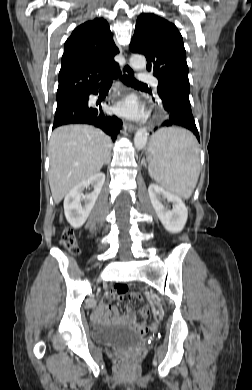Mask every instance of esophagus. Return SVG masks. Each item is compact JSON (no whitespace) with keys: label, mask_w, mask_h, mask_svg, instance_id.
I'll use <instances>...</instances> for the list:
<instances>
[{"label":"esophagus","mask_w":252,"mask_h":390,"mask_svg":"<svg viewBox=\"0 0 252 390\" xmlns=\"http://www.w3.org/2000/svg\"><path fill=\"white\" fill-rule=\"evenodd\" d=\"M123 70H124V73L126 75H128V76H134L135 75V72H134L133 68L127 62L123 65ZM124 127L129 132H132V131H134L136 129V126H134L133 124H130V123L124 124Z\"/></svg>","instance_id":"34e87169"}]
</instances>
